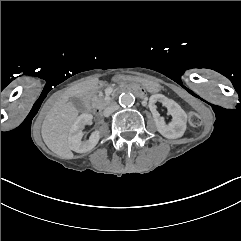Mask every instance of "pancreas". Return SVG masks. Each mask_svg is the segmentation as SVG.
<instances>
[{"mask_svg":"<svg viewBox=\"0 0 241 241\" xmlns=\"http://www.w3.org/2000/svg\"><path fill=\"white\" fill-rule=\"evenodd\" d=\"M99 99L102 101V102H98V106L99 107H104V106H106V105H108L110 102L109 101H106L105 99H104V96H103V93L102 92H100L99 93ZM97 104V103H96Z\"/></svg>","mask_w":241,"mask_h":241,"instance_id":"cf45deb5","label":"pancreas"}]
</instances>
